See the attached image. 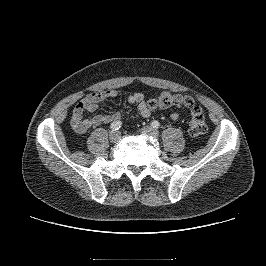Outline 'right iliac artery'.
Returning <instances> with one entry per match:
<instances>
[{"label": "right iliac artery", "mask_w": 266, "mask_h": 266, "mask_svg": "<svg viewBox=\"0 0 266 266\" xmlns=\"http://www.w3.org/2000/svg\"><path fill=\"white\" fill-rule=\"evenodd\" d=\"M121 125H122L121 121H114L111 123L110 128H111V130L116 131V130L120 129Z\"/></svg>", "instance_id": "82829eb1"}]
</instances>
